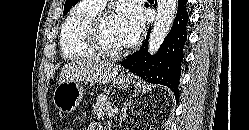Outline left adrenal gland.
<instances>
[{
    "label": "left adrenal gland",
    "instance_id": "a2214340",
    "mask_svg": "<svg viewBox=\"0 0 249 130\" xmlns=\"http://www.w3.org/2000/svg\"><path fill=\"white\" fill-rule=\"evenodd\" d=\"M126 116H127V107L124 108V111L120 116V124L126 120Z\"/></svg>",
    "mask_w": 249,
    "mask_h": 130
}]
</instances>
